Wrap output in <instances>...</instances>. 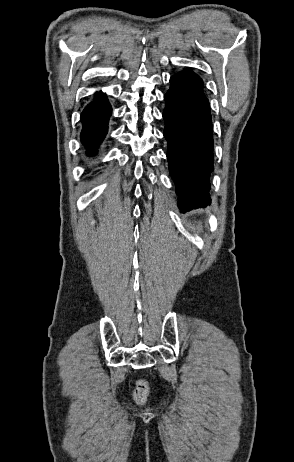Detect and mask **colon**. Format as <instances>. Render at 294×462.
I'll list each match as a JSON object with an SVG mask.
<instances>
[{
  "mask_svg": "<svg viewBox=\"0 0 294 462\" xmlns=\"http://www.w3.org/2000/svg\"><path fill=\"white\" fill-rule=\"evenodd\" d=\"M147 393L146 384L144 382H139L136 392L135 398L138 402H143Z\"/></svg>",
  "mask_w": 294,
  "mask_h": 462,
  "instance_id": "5ec220e1",
  "label": "colon"
}]
</instances>
